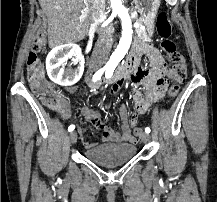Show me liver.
<instances>
[{
	"label": "liver",
	"instance_id": "6515ba94",
	"mask_svg": "<svg viewBox=\"0 0 217 202\" xmlns=\"http://www.w3.org/2000/svg\"><path fill=\"white\" fill-rule=\"evenodd\" d=\"M48 18L50 48L74 44L85 38L89 28L90 0H38Z\"/></svg>",
	"mask_w": 217,
	"mask_h": 202
}]
</instances>
